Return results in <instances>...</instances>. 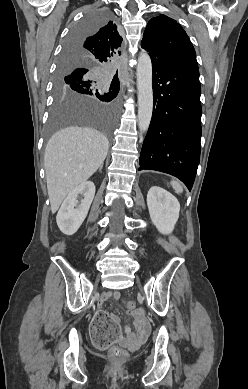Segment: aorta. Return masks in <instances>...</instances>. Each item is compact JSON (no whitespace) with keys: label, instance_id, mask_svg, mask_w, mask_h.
<instances>
[{"label":"aorta","instance_id":"aorta-1","mask_svg":"<svg viewBox=\"0 0 248 389\" xmlns=\"http://www.w3.org/2000/svg\"><path fill=\"white\" fill-rule=\"evenodd\" d=\"M138 89V127L146 132L150 125L153 110L152 64L148 53L143 52L138 57L137 64Z\"/></svg>","mask_w":248,"mask_h":389}]
</instances>
